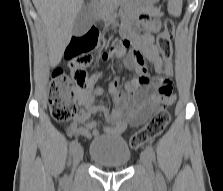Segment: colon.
<instances>
[{
	"label": "colon",
	"mask_w": 223,
	"mask_h": 191,
	"mask_svg": "<svg viewBox=\"0 0 223 191\" xmlns=\"http://www.w3.org/2000/svg\"><path fill=\"white\" fill-rule=\"evenodd\" d=\"M175 24L171 19L164 22V30L157 38L159 54L163 58L160 66L162 67V78H170L176 60L172 54L171 40L174 36ZM99 31L91 29L88 32L75 36L71 39L65 50V58L69 60L70 75L65 71L57 70L51 80L49 88V105L51 115L54 120L65 122L77 115L76 89L86 90L94 83V78L90 77L87 69L92 65L90 52L95 48L99 41ZM118 47L122 50L131 48L127 39L118 42ZM138 61L142 72L138 77L139 84L145 85L149 82V70L144 64L143 58L138 56ZM160 72V71H158ZM170 118L166 109H159L150 121L139 131L130 137V146L134 149L143 147L158 136Z\"/></svg>",
	"instance_id": "colon-1"
}]
</instances>
